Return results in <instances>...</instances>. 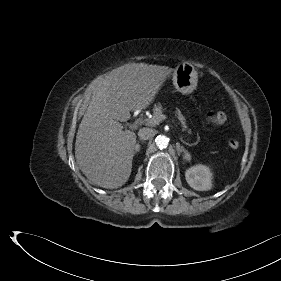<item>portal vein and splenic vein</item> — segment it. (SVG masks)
I'll use <instances>...</instances> for the list:
<instances>
[{
	"instance_id": "1",
	"label": "portal vein and splenic vein",
	"mask_w": 281,
	"mask_h": 281,
	"mask_svg": "<svg viewBox=\"0 0 281 281\" xmlns=\"http://www.w3.org/2000/svg\"><path fill=\"white\" fill-rule=\"evenodd\" d=\"M166 119V116L165 115H161L160 116V119L159 120H148V123H150V124H152V125H154V124H158L160 121H162V120H165Z\"/></svg>"
}]
</instances>
